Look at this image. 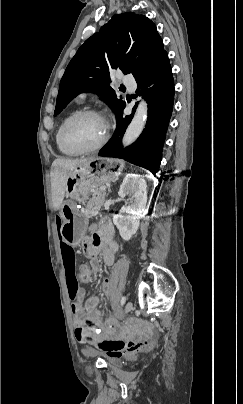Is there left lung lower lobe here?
Returning a JSON list of instances; mask_svg holds the SVG:
<instances>
[{
	"label": "left lung lower lobe",
	"mask_w": 243,
	"mask_h": 404,
	"mask_svg": "<svg viewBox=\"0 0 243 404\" xmlns=\"http://www.w3.org/2000/svg\"><path fill=\"white\" fill-rule=\"evenodd\" d=\"M136 82L137 95L143 94L148 103L145 129L135 143L123 149L121 140L133 114L125 117L122 114L117 120L114 136L98 155L122 158L155 174L160 166L162 147L174 101V81L167 52L136 79Z\"/></svg>",
	"instance_id": "obj_1"
}]
</instances>
